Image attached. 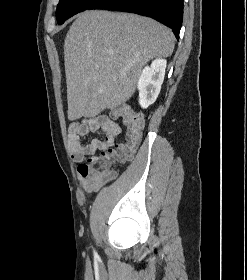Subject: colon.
Here are the masks:
<instances>
[{"label": "colon", "mask_w": 247, "mask_h": 280, "mask_svg": "<svg viewBox=\"0 0 247 280\" xmlns=\"http://www.w3.org/2000/svg\"><path fill=\"white\" fill-rule=\"evenodd\" d=\"M119 115L122 117L126 127L125 142L115 143L114 146L103 151L99 156L88 158L82 170L94 178H111L113 173L112 164L128 159L141 140L144 128L143 117L127 107L121 109Z\"/></svg>", "instance_id": "obj_1"}]
</instances>
